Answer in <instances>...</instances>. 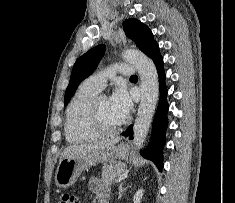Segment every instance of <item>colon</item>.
<instances>
[{
	"mask_svg": "<svg viewBox=\"0 0 235 203\" xmlns=\"http://www.w3.org/2000/svg\"><path fill=\"white\" fill-rule=\"evenodd\" d=\"M57 203H80V199L75 194L65 193L60 196Z\"/></svg>",
	"mask_w": 235,
	"mask_h": 203,
	"instance_id": "obj_1",
	"label": "colon"
}]
</instances>
